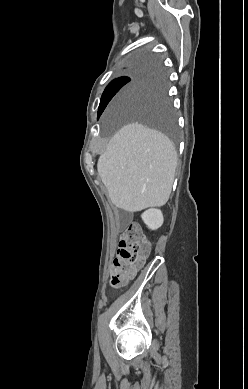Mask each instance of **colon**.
I'll return each instance as SVG.
<instances>
[{"mask_svg": "<svg viewBox=\"0 0 248 389\" xmlns=\"http://www.w3.org/2000/svg\"><path fill=\"white\" fill-rule=\"evenodd\" d=\"M149 253V241L142 235L139 225L131 223L119 240L118 256L111 268V285L113 287L127 285Z\"/></svg>", "mask_w": 248, "mask_h": 389, "instance_id": "colon-1", "label": "colon"}]
</instances>
